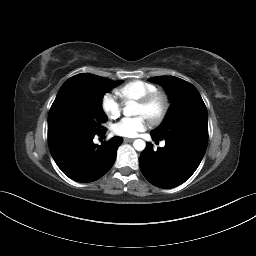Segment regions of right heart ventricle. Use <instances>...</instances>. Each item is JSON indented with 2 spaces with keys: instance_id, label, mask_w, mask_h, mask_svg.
<instances>
[{
  "instance_id": "right-heart-ventricle-1",
  "label": "right heart ventricle",
  "mask_w": 256,
  "mask_h": 256,
  "mask_svg": "<svg viewBox=\"0 0 256 256\" xmlns=\"http://www.w3.org/2000/svg\"><path fill=\"white\" fill-rule=\"evenodd\" d=\"M157 90V86L152 83L142 80H134L117 88L115 94L119 96L124 103H128L131 101H138L147 94Z\"/></svg>"
}]
</instances>
